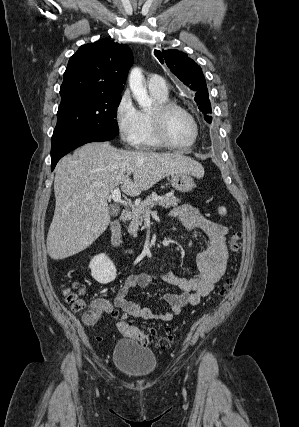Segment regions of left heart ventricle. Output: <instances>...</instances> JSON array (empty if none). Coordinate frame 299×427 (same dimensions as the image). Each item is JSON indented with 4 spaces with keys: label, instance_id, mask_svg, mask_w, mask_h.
<instances>
[{
    "label": "left heart ventricle",
    "instance_id": "left-heart-ventricle-1",
    "mask_svg": "<svg viewBox=\"0 0 299 427\" xmlns=\"http://www.w3.org/2000/svg\"><path fill=\"white\" fill-rule=\"evenodd\" d=\"M165 131L172 142L187 144L193 138L194 126L185 113L179 110H172L165 118Z\"/></svg>",
    "mask_w": 299,
    "mask_h": 427
}]
</instances>
